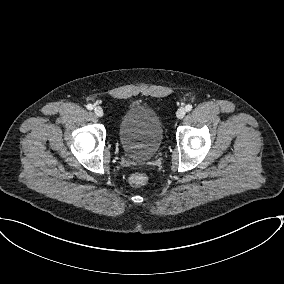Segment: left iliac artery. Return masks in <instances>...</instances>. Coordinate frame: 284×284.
<instances>
[{
  "mask_svg": "<svg viewBox=\"0 0 284 284\" xmlns=\"http://www.w3.org/2000/svg\"><path fill=\"white\" fill-rule=\"evenodd\" d=\"M186 111H191L192 110V105L188 104L186 107H185Z\"/></svg>",
  "mask_w": 284,
  "mask_h": 284,
  "instance_id": "44dca946",
  "label": "left iliac artery"
}]
</instances>
